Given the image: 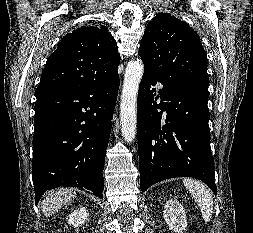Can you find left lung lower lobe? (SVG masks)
<instances>
[{
    "instance_id": "1",
    "label": "left lung lower lobe",
    "mask_w": 253,
    "mask_h": 233,
    "mask_svg": "<svg viewBox=\"0 0 253 233\" xmlns=\"http://www.w3.org/2000/svg\"><path fill=\"white\" fill-rule=\"evenodd\" d=\"M157 82L162 83L144 68L137 101L141 190L165 179L192 177L217 194L208 127V87L192 84L174 88L162 83L156 95Z\"/></svg>"
}]
</instances>
